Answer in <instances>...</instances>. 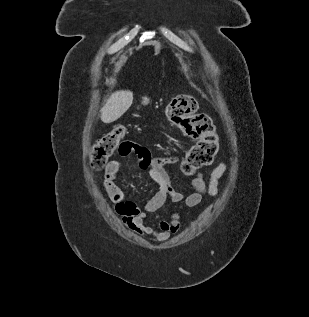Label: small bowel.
<instances>
[{
	"instance_id": "small-bowel-1",
	"label": "small bowel",
	"mask_w": 309,
	"mask_h": 317,
	"mask_svg": "<svg viewBox=\"0 0 309 317\" xmlns=\"http://www.w3.org/2000/svg\"><path fill=\"white\" fill-rule=\"evenodd\" d=\"M132 144V146L137 147V151L132 149L126 153L120 152L121 155L136 154L138 168L146 171L149 177L157 183V192L147 202L144 210H141L134 202L127 200L123 190L115 181L121 168V164L117 160L109 162L106 166L103 187L114 205L115 212L121 217L123 224L128 229L139 236L150 237L152 241L161 243L168 240L171 235L179 230L181 214L176 212L169 220L161 221L157 227H153L147 224V212L157 211L167 200L177 203L181 207L192 208L197 206L205 195L217 196L220 179L227 171L228 164L220 162L207 178L200 172L196 173L192 180V190L185 194L172 187L170 177L165 169L167 164L179 161L178 155L152 156L145 146Z\"/></svg>"
}]
</instances>
